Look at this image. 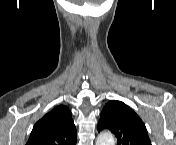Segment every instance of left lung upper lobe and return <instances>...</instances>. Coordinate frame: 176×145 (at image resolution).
Returning a JSON list of instances; mask_svg holds the SVG:
<instances>
[{"instance_id":"left-lung-upper-lobe-1","label":"left lung upper lobe","mask_w":176,"mask_h":145,"mask_svg":"<svg viewBox=\"0 0 176 145\" xmlns=\"http://www.w3.org/2000/svg\"><path fill=\"white\" fill-rule=\"evenodd\" d=\"M109 129L117 137V145H151L145 124L127 105L109 101L101 112L98 131Z\"/></svg>"}]
</instances>
